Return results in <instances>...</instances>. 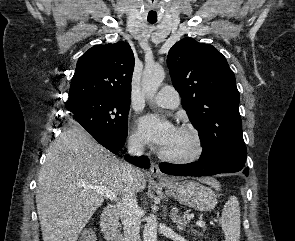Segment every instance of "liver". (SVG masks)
<instances>
[{"instance_id":"6515ba94","label":"liver","mask_w":295,"mask_h":241,"mask_svg":"<svg viewBox=\"0 0 295 241\" xmlns=\"http://www.w3.org/2000/svg\"><path fill=\"white\" fill-rule=\"evenodd\" d=\"M123 162L100 146L79 127L64 131L47 152L38 174L36 205L43 241H77L94 212L103 204L104 196L84 188L103 186L124 195ZM146 178L138 170L132 188L141 192ZM202 182L215 185L211 178Z\"/></svg>"}]
</instances>
